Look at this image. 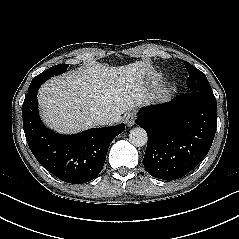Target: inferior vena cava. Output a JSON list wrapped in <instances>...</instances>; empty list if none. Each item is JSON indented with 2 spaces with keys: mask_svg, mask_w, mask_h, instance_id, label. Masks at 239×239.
<instances>
[{
  "mask_svg": "<svg viewBox=\"0 0 239 239\" xmlns=\"http://www.w3.org/2000/svg\"><path fill=\"white\" fill-rule=\"evenodd\" d=\"M98 125H109L114 122V118L107 115H98L95 118Z\"/></svg>",
  "mask_w": 239,
  "mask_h": 239,
  "instance_id": "obj_1",
  "label": "inferior vena cava"
}]
</instances>
